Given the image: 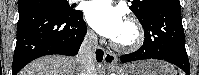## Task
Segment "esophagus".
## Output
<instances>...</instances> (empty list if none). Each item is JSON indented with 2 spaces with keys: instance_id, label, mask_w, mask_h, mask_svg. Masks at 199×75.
Instances as JSON below:
<instances>
[{
  "instance_id": "1",
  "label": "esophagus",
  "mask_w": 199,
  "mask_h": 75,
  "mask_svg": "<svg viewBox=\"0 0 199 75\" xmlns=\"http://www.w3.org/2000/svg\"><path fill=\"white\" fill-rule=\"evenodd\" d=\"M104 63L107 66H115L117 63V56L114 52L104 51Z\"/></svg>"
}]
</instances>
